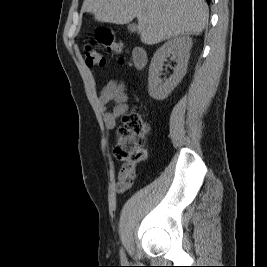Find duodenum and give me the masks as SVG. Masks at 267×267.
I'll return each mask as SVG.
<instances>
[{
    "label": "duodenum",
    "mask_w": 267,
    "mask_h": 267,
    "mask_svg": "<svg viewBox=\"0 0 267 267\" xmlns=\"http://www.w3.org/2000/svg\"><path fill=\"white\" fill-rule=\"evenodd\" d=\"M132 58H133V63L137 68H142L147 61L146 52L142 48H135L133 51Z\"/></svg>",
    "instance_id": "1"
}]
</instances>
